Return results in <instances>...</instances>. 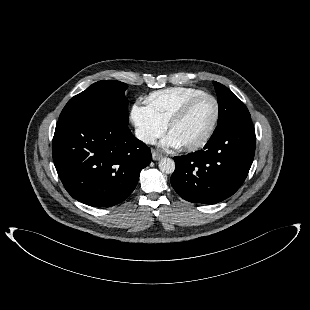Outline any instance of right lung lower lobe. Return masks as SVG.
Segmentation results:
<instances>
[{"mask_svg":"<svg viewBox=\"0 0 310 310\" xmlns=\"http://www.w3.org/2000/svg\"><path fill=\"white\" fill-rule=\"evenodd\" d=\"M52 155L68 193L94 207L125 200L151 162L150 149L127 125L90 115L59 119Z\"/></svg>","mask_w":310,"mask_h":310,"instance_id":"right-lung-lower-lobe-1","label":"right lung lower lobe"}]
</instances>
